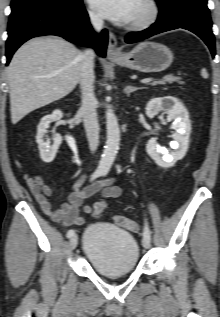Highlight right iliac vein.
<instances>
[{"label":"right iliac vein","instance_id":"right-iliac-vein-1","mask_svg":"<svg viewBox=\"0 0 220 317\" xmlns=\"http://www.w3.org/2000/svg\"><path fill=\"white\" fill-rule=\"evenodd\" d=\"M77 244H78V236L74 235L71 237L69 241V246L71 249H75L77 247Z\"/></svg>","mask_w":220,"mask_h":317}]
</instances>
